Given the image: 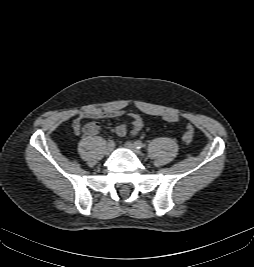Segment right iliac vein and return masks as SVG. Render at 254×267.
Listing matches in <instances>:
<instances>
[{
    "mask_svg": "<svg viewBox=\"0 0 254 267\" xmlns=\"http://www.w3.org/2000/svg\"><path fill=\"white\" fill-rule=\"evenodd\" d=\"M114 149V146L108 145L105 149V154L109 155Z\"/></svg>",
    "mask_w": 254,
    "mask_h": 267,
    "instance_id": "63e3f726",
    "label": "right iliac vein"
}]
</instances>
